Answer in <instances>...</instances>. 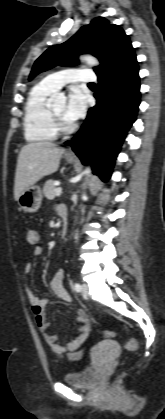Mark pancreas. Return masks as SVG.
<instances>
[{
    "label": "pancreas",
    "instance_id": "obj_1",
    "mask_svg": "<svg viewBox=\"0 0 165 419\" xmlns=\"http://www.w3.org/2000/svg\"><path fill=\"white\" fill-rule=\"evenodd\" d=\"M54 183H55L54 179H49L44 184L43 193L47 199L52 200L56 196V193H55L56 186L54 185Z\"/></svg>",
    "mask_w": 165,
    "mask_h": 419
}]
</instances>
